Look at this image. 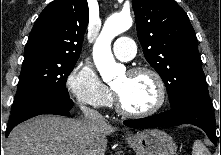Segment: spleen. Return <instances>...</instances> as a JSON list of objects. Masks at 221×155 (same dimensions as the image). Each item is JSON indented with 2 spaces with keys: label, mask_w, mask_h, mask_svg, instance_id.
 Returning <instances> with one entry per match:
<instances>
[{
  "label": "spleen",
  "mask_w": 221,
  "mask_h": 155,
  "mask_svg": "<svg viewBox=\"0 0 221 155\" xmlns=\"http://www.w3.org/2000/svg\"><path fill=\"white\" fill-rule=\"evenodd\" d=\"M192 155H210V152L200 140H196L193 145Z\"/></svg>",
  "instance_id": "1"
}]
</instances>
